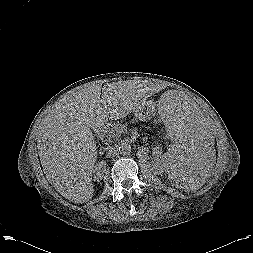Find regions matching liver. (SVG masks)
Wrapping results in <instances>:
<instances>
[{
    "label": "liver",
    "instance_id": "liver-1",
    "mask_svg": "<svg viewBox=\"0 0 253 253\" xmlns=\"http://www.w3.org/2000/svg\"><path fill=\"white\" fill-rule=\"evenodd\" d=\"M154 92L133 81L95 84L55 106L40 124L37 147L44 174L56 191L77 204L93 197L97 147L92 130L128 116Z\"/></svg>",
    "mask_w": 253,
    "mask_h": 253
}]
</instances>
